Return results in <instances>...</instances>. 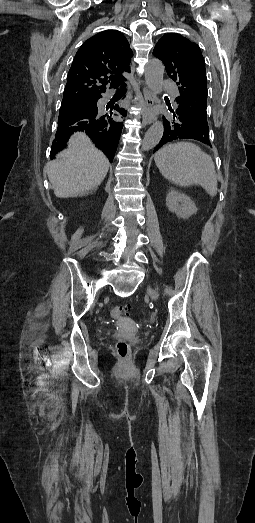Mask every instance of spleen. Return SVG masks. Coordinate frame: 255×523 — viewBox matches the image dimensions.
<instances>
[{"instance_id": "spleen-1", "label": "spleen", "mask_w": 255, "mask_h": 523, "mask_svg": "<svg viewBox=\"0 0 255 523\" xmlns=\"http://www.w3.org/2000/svg\"><path fill=\"white\" fill-rule=\"evenodd\" d=\"M160 174L177 186L199 184L209 196L217 194V176L211 156L196 144L177 142L158 150L154 156Z\"/></svg>"}]
</instances>
